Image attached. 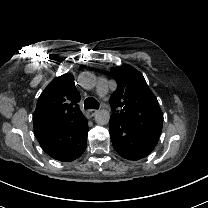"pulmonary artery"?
I'll list each match as a JSON object with an SVG mask.
<instances>
[{"label": "pulmonary artery", "instance_id": "e3ab8cb5", "mask_svg": "<svg viewBox=\"0 0 208 208\" xmlns=\"http://www.w3.org/2000/svg\"><path fill=\"white\" fill-rule=\"evenodd\" d=\"M96 84H97V90L98 91H106L107 90V88H108V81H107V79L105 78V77H97V82H96ZM102 93V92H101ZM103 96V95H102ZM103 98H104V96H103ZM107 102V101H106ZM108 103V102H107ZM108 105H110L109 103H108ZM114 108V107H113ZM115 109V108H114Z\"/></svg>", "mask_w": 208, "mask_h": 208}]
</instances>
